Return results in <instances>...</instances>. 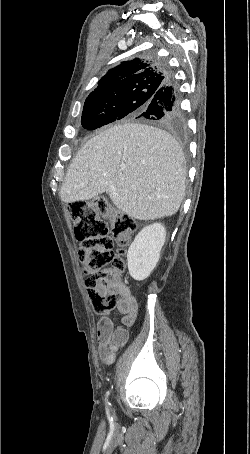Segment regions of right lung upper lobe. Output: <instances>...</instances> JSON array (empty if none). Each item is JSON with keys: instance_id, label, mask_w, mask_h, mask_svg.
I'll list each match as a JSON object with an SVG mask.
<instances>
[{"instance_id": "obj_1", "label": "right lung upper lobe", "mask_w": 250, "mask_h": 454, "mask_svg": "<svg viewBox=\"0 0 250 454\" xmlns=\"http://www.w3.org/2000/svg\"><path fill=\"white\" fill-rule=\"evenodd\" d=\"M169 70L164 63L155 58H136L122 62L110 69L98 82V87L90 93L85 104L94 103L103 99H115L123 96L135 88L145 84H154L160 88L164 86Z\"/></svg>"}]
</instances>
